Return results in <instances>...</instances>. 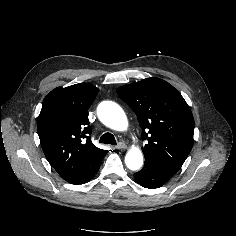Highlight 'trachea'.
<instances>
[{"mask_svg":"<svg viewBox=\"0 0 236 236\" xmlns=\"http://www.w3.org/2000/svg\"><path fill=\"white\" fill-rule=\"evenodd\" d=\"M100 143L116 145V139L113 134L107 132L101 136Z\"/></svg>","mask_w":236,"mask_h":236,"instance_id":"trachea-1","label":"trachea"}]
</instances>
